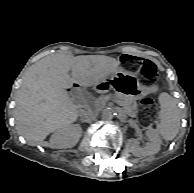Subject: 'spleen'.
<instances>
[{"label": "spleen", "mask_w": 194, "mask_h": 193, "mask_svg": "<svg viewBox=\"0 0 194 193\" xmlns=\"http://www.w3.org/2000/svg\"><path fill=\"white\" fill-rule=\"evenodd\" d=\"M161 110L159 113L160 121L157 130L166 141L173 140L180 127V112L177 101L167 93H162L159 97Z\"/></svg>", "instance_id": "obj_1"}]
</instances>
